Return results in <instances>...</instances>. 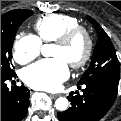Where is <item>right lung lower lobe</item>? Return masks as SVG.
Instances as JSON below:
<instances>
[{
  "label": "right lung lower lobe",
  "instance_id": "98d812e1",
  "mask_svg": "<svg viewBox=\"0 0 121 121\" xmlns=\"http://www.w3.org/2000/svg\"><path fill=\"white\" fill-rule=\"evenodd\" d=\"M16 74L1 75V121H21L28 111L30 91L24 86L9 90L6 82Z\"/></svg>",
  "mask_w": 121,
  "mask_h": 121
}]
</instances>
